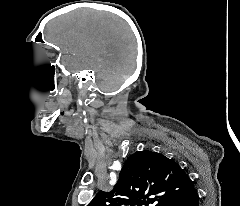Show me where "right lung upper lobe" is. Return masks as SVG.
Returning a JSON list of instances; mask_svg holds the SVG:
<instances>
[{"instance_id": "right-lung-upper-lobe-1", "label": "right lung upper lobe", "mask_w": 240, "mask_h": 206, "mask_svg": "<svg viewBox=\"0 0 240 206\" xmlns=\"http://www.w3.org/2000/svg\"><path fill=\"white\" fill-rule=\"evenodd\" d=\"M193 182L172 159L149 150L125 162L110 192L99 191L88 206H166L193 189Z\"/></svg>"}]
</instances>
